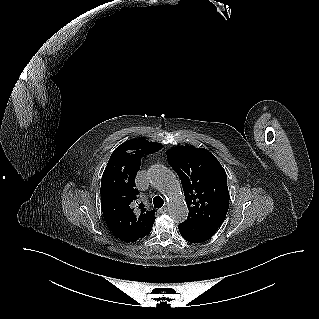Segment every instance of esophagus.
<instances>
[{"mask_svg":"<svg viewBox=\"0 0 319 319\" xmlns=\"http://www.w3.org/2000/svg\"><path fill=\"white\" fill-rule=\"evenodd\" d=\"M167 210H168L167 207H163V208H161V209L158 210V213L164 214V213L167 212Z\"/></svg>","mask_w":319,"mask_h":319,"instance_id":"34e87169","label":"esophagus"}]
</instances>
